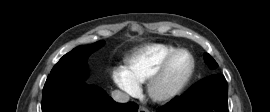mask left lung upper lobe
<instances>
[{
    "instance_id": "obj_1",
    "label": "left lung upper lobe",
    "mask_w": 270,
    "mask_h": 112,
    "mask_svg": "<svg viewBox=\"0 0 270 112\" xmlns=\"http://www.w3.org/2000/svg\"><path fill=\"white\" fill-rule=\"evenodd\" d=\"M204 59L211 69H215L218 67L216 61L209 54H205Z\"/></svg>"
}]
</instances>
